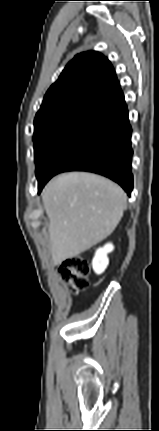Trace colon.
I'll list each match as a JSON object with an SVG mask.
<instances>
[{
    "label": "colon",
    "mask_w": 159,
    "mask_h": 431,
    "mask_svg": "<svg viewBox=\"0 0 159 431\" xmlns=\"http://www.w3.org/2000/svg\"><path fill=\"white\" fill-rule=\"evenodd\" d=\"M59 273L74 294L86 290L89 286L90 264L81 255L65 259L59 267Z\"/></svg>",
    "instance_id": "1"
}]
</instances>
